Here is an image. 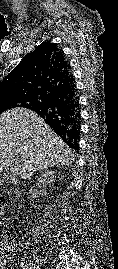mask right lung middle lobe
Here are the masks:
<instances>
[{
    "instance_id": "right-lung-middle-lobe-1",
    "label": "right lung middle lobe",
    "mask_w": 118,
    "mask_h": 269,
    "mask_svg": "<svg viewBox=\"0 0 118 269\" xmlns=\"http://www.w3.org/2000/svg\"><path fill=\"white\" fill-rule=\"evenodd\" d=\"M37 105L34 98L21 97V98H1L0 99V114L8 109L16 107L30 108Z\"/></svg>"
}]
</instances>
